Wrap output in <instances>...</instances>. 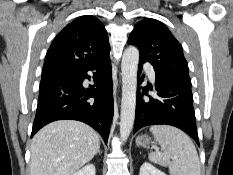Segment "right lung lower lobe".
<instances>
[{"instance_id": "1", "label": "right lung lower lobe", "mask_w": 233, "mask_h": 175, "mask_svg": "<svg viewBox=\"0 0 233 175\" xmlns=\"http://www.w3.org/2000/svg\"><path fill=\"white\" fill-rule=\"evenodd\" d=\"M94 85L84 88L91 78ZM112 68L109 55L69 73L41 80L31 137L46 124L62 119L82 121L107 144L113 117Z\"/></svg>"}]
</instances>
